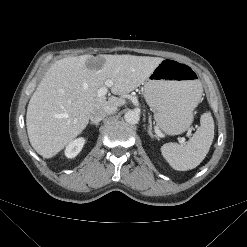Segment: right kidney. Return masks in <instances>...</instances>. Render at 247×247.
Here are the masks:
<instances>
[{"label": "right kidney", "instance_id": "right-kidney-1", "mask_svg": "<svg viewBox=\"0 0 247 247\" xmlns=\"http://www.w3.org/2000/svg\"><path fill=\"white\" fill-rule=\"evenodd\" d=\"M84 143H85L84 138H78L70 142L65 149L66 157L74 158L75 156H77L82 150Z\"/></svg>", "mask_w": 247, "mask_h": 247}]
</instances>
